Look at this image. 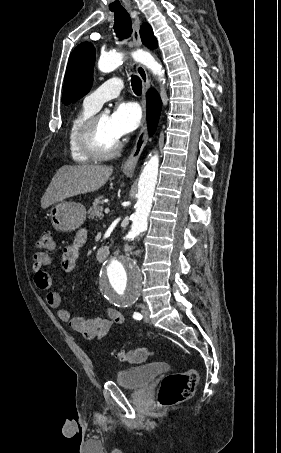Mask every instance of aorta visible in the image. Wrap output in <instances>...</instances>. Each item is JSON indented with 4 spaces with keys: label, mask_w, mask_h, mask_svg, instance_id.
Instances as JSON below:
<instances>
[{
    "label": "aorta",
    "mask_w": 281,
    "mask_h": 453,
    "mask_svg": "<svg viewBox=\"0 0 281 453\" xmlns=\"http://www.w3.org/2000/svg\"><path fill=\"white\" fill-rule=\"evenodd\" d=\"M134 60L145 65L151 72L158 76L160 81H165L164 70L154 57L146 51L133 52ZM123 63V54L107 53L100 57L98 69L108 73L115 70ZM109 113L108 110L105 111ZM159 156L154 154L145 163L138 182L137 202L132 215V225L126 238L134 239L145 232L148 227V216L151 211L153 195L157 183ZM100 291L104 298L115 306L134 303L140 294L142 275L136 262L130 258H111L107 260L100 272Z\"/></svg>",
    "instance_id": "aorta-1"
}]
</instances>
